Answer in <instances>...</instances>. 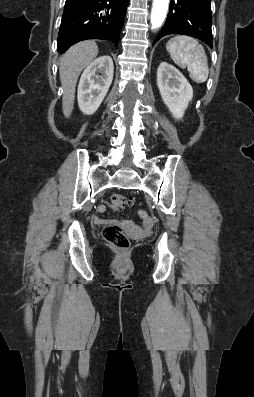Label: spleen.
<instances>
[{
  "instance_id": "spleen-1",
  "label": "spleen",
  "mask_w": 254,
  "mask_h": 397,
  "mask_svg": "<svg viewBox=\"0 0 254 397\" xmlns=\"http://www.w3.org/2000/svg\"><path fill=\"white\" fill-rule=\"evenodd\" d=\"M166 49L179 67H187L189 76L194 82L204 83L207 81L208 59L203 46L196 39L178 35L167 42Z\"/></svg>"
}]
</instances>
